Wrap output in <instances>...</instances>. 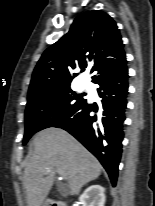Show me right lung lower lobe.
Wrapping results in <instances>:
<instances>
[{"label": "right lung lower lobe", "instance_id": "98d812e1", "mask_svg": "<svg viewBox=\"0 0 155 206\" xmlns=\"http://www.w3.org/2000/svg\"><path fill=\"white\" fill-rule=\"evenodd\" d=\"M96 84L100 86L98 94L102 98L99 113L97 104H90L86 100L52 127L68 131L94 154L115 186L122 153L123 122L128 94L126 63L117 72Z\"/></svg>", "mask_w": 155, "mask_h": 206}]
</instances>
